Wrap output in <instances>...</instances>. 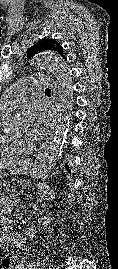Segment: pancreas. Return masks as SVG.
Instances as JSON below:
<instances>
[{"instance_id":"1","label":"pancreas","mask_w":118,"mask_h":269,"mask_svg":"<svg viewBox=\"0 0 118 269\" xmlns=\"http://www.w3.org/2000/svg\"><path fill=\"white\" fill-rule=\"evenodd\" d=\"M17 189L16 182H6L5 187L1 188L2 192H14Z\"/></svg>"}]
</instances>
